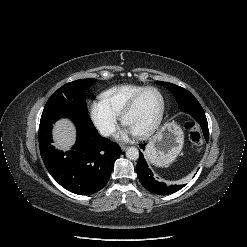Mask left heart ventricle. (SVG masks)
<instances>
[{"mask_svg":"<svg viewBox=\"0 0 247 247\" xmlns=\"http://www.w3.org/2000/svg\"><path fill=\"white\" fill-rule=\"evenodd\" d=\"M161 110V98L154 91L144 93L133 111L126 117L125 125L133 133H139L151 126Z\"/></svg>","mask_w":247,"mask_h":247,"instance_id":"left-heart-ventricle-1","label":"left heart ventricle"}]
</instances>
